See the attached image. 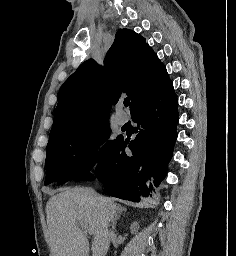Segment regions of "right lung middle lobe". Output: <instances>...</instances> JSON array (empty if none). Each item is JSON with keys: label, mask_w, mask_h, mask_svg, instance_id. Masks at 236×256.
<instances>
[{"label": "right lung middle lobe", "mask_w": 236, "mask_h": 256, "mask_svg": "<svg viewBox=\"0 0 236 256\" xmlns=\"http://www.w3.org/2000/svg\"><path fill=\"white\" fill-rule=\"evenodd\" d=\"M109 136V122L104 120L79 126L64 135L49 139L44 185L65 183L89 175L97 164L106 160L121 138L118 136L115 140H108Z\"/></svg>", "instance_id": "dd1d6c3e"}]
</instances>
